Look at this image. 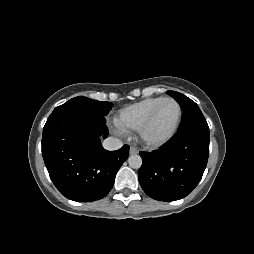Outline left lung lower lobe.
I'll return each instance as SVG.
<instances>
[{"label":"left lung lower lobe","instance_id":"0a47b994","mask_svg":"<svg viewBox=\"0 0 254 254\" xmlns=\"http://www.w3.org/2000/svg\"><path fill=\"white\" fill-rule=\"evenodd\" d=\"M209 155L208 125L178 130L161 149L140 152L138 171L144 192L155 200L175 201L186 197L202 178Z\"/></svg>","mask_w":254,"mask_h":254}]
</instances>
